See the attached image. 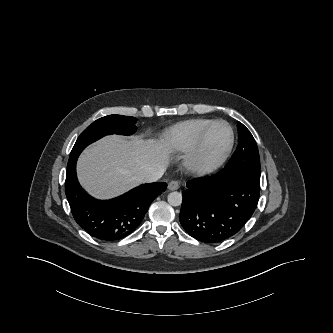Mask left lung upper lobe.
Listing matches in <instances>:
<instances>
[{
    "label": "left lung upper lobe",
    "instance_id": "left-lung-upper-lobe-1",
    "mask_svg": "<svg viewBox=\"0 0 333 333\" xmlns=\"http://www.w3.org/2000/svg\"><path fill=\"white\" fill-rule=\"evenodd\" d=\"M237 128L238 146L226 167L241 170L260 181V159L255 139L242 123L238 122Z\"/></svg>",
    "mask_w": 333,
    "mask_h": 333
}]
</instances>
